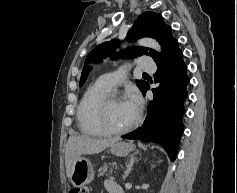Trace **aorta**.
<instances>
[{
	"label": "aorta",
	"instance_id": "762f6f07",
	"mask_svg": "<svg viewBox=\"0 0 237 193\" xmlns=\"http://www.w3.org/2000/svg\"><path fill=\"white\" fill-rule=\"evenodd\" d=\"M138 43L142 46L154 49L157 52H161L160 44L153 38H142Z\"/></svg>",
	"mask_w": 237,
	"mask_h": 193
}]
</instances>
